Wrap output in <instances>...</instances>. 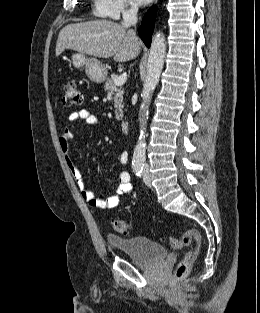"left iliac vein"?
Returning a JSON list of instances; mask_svg holds the SVG:
<instances>
[{
    "label": "left iliac vein",
    "instance_id": "obj_1",
    "mask_svg": "<svg viewBox=\"0 0 260 313\" xmlns=\"http://www.w3.org/2000/svg\"><path fill=\"white\" fill-rule=\"evenodd\" d=\"M142 176H143L144 183L150 187L151 186V179H150L148 168H144Z\"/></svg>",
    "mask_w": 260,
    "mask_h": 313
}]
</instances>
